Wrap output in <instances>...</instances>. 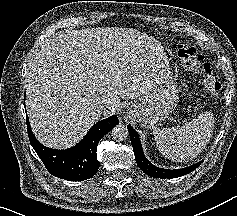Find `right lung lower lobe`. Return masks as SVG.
Instances as JSON below:
<instances>
[{"label":"right lung lower lobe","instance_id":"1","mask_svg":"<svg viewBox=\"0 0 237 216\" xmlns=\"http://www.w3.org/2000/svg\"><path fill=\"white\" fill-rule=\"evenodd\" d=\"M26 120L30 143L47 170L53 176L70 181L86 180L96 174L100 166L96 153L98 143L119 123L117 116L99 121L77 145L66 150H56L39 143L31 131L27 114Z\"/></svg>","mask_w":237,"mask_h":216}]
</instances>
